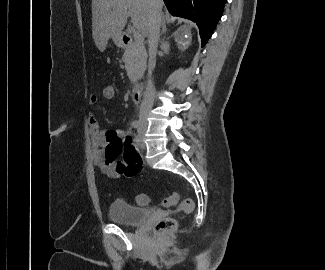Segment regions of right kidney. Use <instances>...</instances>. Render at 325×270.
I'll return each instance as SVG.
<instances>
[{
    "mask_svg": "<svg viewBox=\"0 0 325 270\" xmlns=\"http://www.w3.org/2000/svg\"><path fill=\"white\" fill-rule=\"evenodd\" d=\"M174 38L178 42L180 50L184 51L189 47L192 41V35L188 27H180L175 33Z\"/></svg>",
    "mask_w": 325,
    "mask_h": 270,
    "instance_id": "1",
    "label": "right kidney"
}]
</instances>
